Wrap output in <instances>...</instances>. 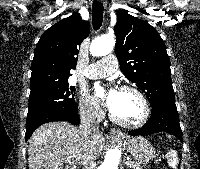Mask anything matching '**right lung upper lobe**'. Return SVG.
<instances>
[{
  "label": "right lung upper lobe",
  "instance_id": "obj_1",
  "mask_svg": "<svg viewBox=\"0 0 200 169\" xmlns=\"http://www.w3.org/2000/svg\"><path fill=\"white\" fill-rule=\"evenodd\" d=\"M90 24L78 13L46 30L37 43L31 64V87L50 81L68 80L77 64L76 55L88 36Z\"/></svg>",
  "mask_w": 200,
  "mask_h": 169
}]
</instances>
